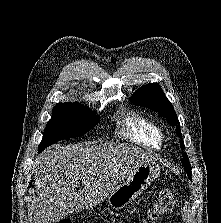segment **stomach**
I'll use <instances>...</instances> for the list:
<instances>
[{
	"instance_id": "obj_1",
	"label": "stomach",
	"mask_w": 221,
	"mask_h": 223,
	"mask_svg": "<svg viewBox=\"0 0 221 223\" xmlns=\"http://www.w3.org/2000/svg\"><path fill=\"white\" fill-rule=\"evenodd\" d=\"M160 166L155 162L138 165L127 179L109 196V205L116 210L125 208L141 195L159 176Z\"/></svg>"
}]
</instances>
